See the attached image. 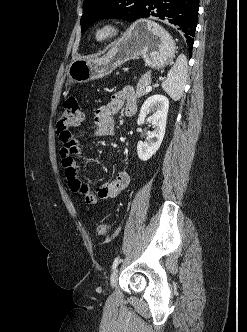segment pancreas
I'll list each match as a JSON object with an SVG mask.
<instances>
[{
	"mask_svg": "<svg viewBox=\"0 0 247 332\" xmlns=\"http://www.w3.org/2000/svg\"><path fill=\"white\" fill-rule=\"evenodd\" d=\"M150 82H151V77L149 74H145L140 78V80L137 84L136 93H135V96L137 98H140L147 93L146 88L150 84Z\"/></svg>",
	"mask_w": 247,
	"mask_h": 332,
	"instance_id": "pancreas-1",
	"label": "pancreas"
}]
</instances>
